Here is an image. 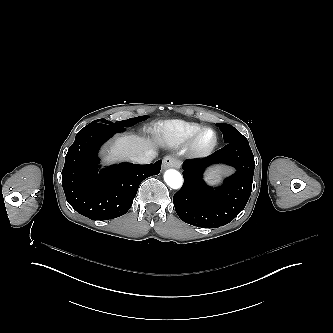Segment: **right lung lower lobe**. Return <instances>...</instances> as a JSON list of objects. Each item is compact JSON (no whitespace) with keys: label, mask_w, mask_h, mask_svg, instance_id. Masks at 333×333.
<instances>
[{"label":"right lung lower lobe","mask_w":333,"mask_h":333,"mask_svg":"<svg viewBox=\"0 0 333 333\" xmlns=\"http://www.w3.org/2000/svg\"><path fill=\"white\" fill-rule=\"evenodd\" d=\"M124 130L92 122L77 133L68 149L62 170L65 196L73 209L90 219L108 220L124 215L132 206L141 182L161 169V160L148 165L121 163L98 174V149Z\"/></svg>","instance_id":"right-lung-lower-lobe-1"}]
</instances>
